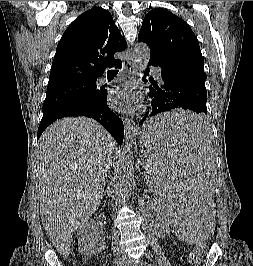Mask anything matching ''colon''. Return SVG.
I'll list each match as a JSON object with an SVG mask.
<instances>
[{"label":"colon","mask_w":253,"mask_h":266,"mask_svg":"<svg viewBox=\"0 0 253 266\" xmlns=\"http://www.w3.org/2000/svg\"><path fill=\"white\" fill-rule=\"evenodd\" d=\"M202 248H197L193 253L189 256V262L191 264H196L199 261V254L201 252Z\"/></svg>","instance_id":"5ec220e1"}]
</instances>
